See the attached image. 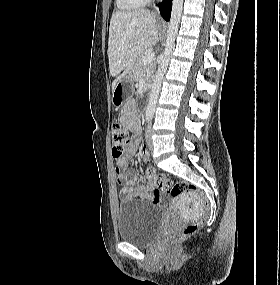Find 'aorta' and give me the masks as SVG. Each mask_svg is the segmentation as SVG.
<instances>
[{
  "label": "aorta",
  "instance_id": "obj_1",
  "mask_svg": "<svg viewBox=\"0 0 280 285\" xmlns=\"http://www.w3.org/2000/svg\"><path fill=\"white\" fill-rule=\"evenodd\" d=\"M182 9H183V0H173L171 18H170L168 31H167V41L165 45V51L163 53L160 65L158 67L157 73L155 75V78L151 86V93H150L149 102H148L147 109H146V116L148 118H152L155 113L162 80L166 73V70H167V67L170 61V57L172 54L175 37L178 32Z\"/></svg>",
  "mask_w": 280,
  "mask_h": 285
}]
</instances>
